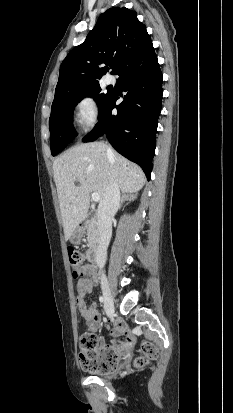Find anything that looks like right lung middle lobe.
<instances>
[{
    "instance_id": "1",
    "label": "right lung middle lobe",
    "mask_w": 233,
    "mask_h": 413,
    "mask_svg": "<svg viewBox=\"0 0 233 413\" xmlns=\"http://www.w3.org/2000/svg\"><path fill=\"white\" fill-rule=\"evenodd\" d=\"M100 92L101 88L98 83L52 104L49 128L53 156L61 152L77 135L72 124V116L76 104L82 98L86 96L93 97L98 103L99 113L102 111L109 100L111 92L108 91L107 94Z\"/></svg>"
}]
</instances>
